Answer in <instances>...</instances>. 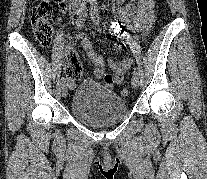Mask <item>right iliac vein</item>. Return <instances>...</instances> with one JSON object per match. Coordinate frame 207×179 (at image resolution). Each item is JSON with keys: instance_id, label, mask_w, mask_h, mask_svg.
Here are the masks:
<instances>
[{"instance_id": "right-iliac-vein-1", "label": "right iliac vein", "mask_w": 207, "mask_h": 179, "mask_svg": "<svg viewBox=\"0 0 207 179\" xmlns=\"http://www.w3.org/2000/svg\"><path fill=\"white\" fill-rule=\"evenodd\" d=\"M79 13H77L78 15ZM61 93H62V96L63 97H66L67 94H68V86L67 85H63L62 88H61Z\"/></svg>"}]
</instances>
